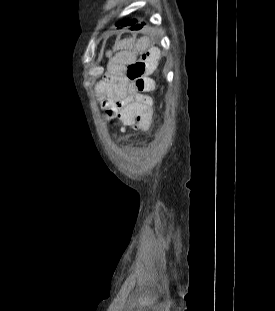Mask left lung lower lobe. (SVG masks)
Returning a JSON list of instances; mask_svg holds the SVG:
<instances>
[{
  "label": "left lung lower lobe",
  "mask_w": 275,
  "mask_h": 311,
  "mask_svg": "<svg viewBox=\"0 0 275 311\" xmlns=\"http://www.w3.org/2000/svg\"><path fill=\"white\" fill-rule=\"evenodd\" d=\"M143 25H144V23L138 24V23H136V20H135L131 25H129V27L131 30H139L143 27Z\"/></svg>",
  "instance_id": "0a47b994"
}]
</instances>
